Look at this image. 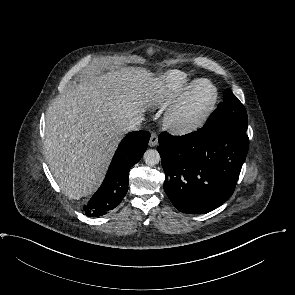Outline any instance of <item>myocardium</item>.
Segmentation results:
<instances>
[{"label": "myocardium", "instance_id": "obj_1", "mask_svg": "<svg viewBox=\"0 0 295 295\" xmlns=\"http://www.w3.org/2000/svg\"><path fill=\"white\" fill-rule=\"evenodd\" d=\"M202 83H208L213 89V97L205 111L194 119H184L182 114L186 103L192 93ZM219 100V91L217 86L207 78H200L193 81L185 90L173 101V104L167 110L164 122L166 127L179 136L189 135L200 130L213 115Z\"/></svg>", "mask_w": 295, "mask_h": 295}]
</instances>
